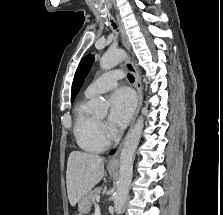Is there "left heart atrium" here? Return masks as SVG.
Here are the masks:
<instances>
[{"label":"left heart atrium","mask_w":223,"mask_h":215,"mask_svg":"<svg viewBox=\"0 0 223 215\" xmlns=\"http://www.w3.org/2000/svg\"><path fill=\"white\" fill-rule=\"evenodd\" d=\"M109 101V126L113 129L126 126L135 106V100L131 91L127 88L119 89L110 96Z\"/></svg>","instance_id":"left-heart-atrium-1"}]
</instances>
